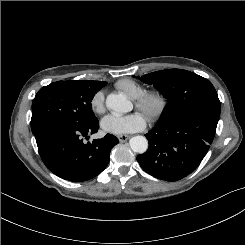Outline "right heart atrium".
<instances>
[{
    "label": "right heart atrium",
    "instance_id": "right-heart-atrium-1",
    "mask_svg": "<svg viewBox=\"0 0 245 245\" xmlns=\"http://www.w3.org/2000/svg\"><path fill=\"white\" fill-rule=\"evenodd\" d=\"M90 107L96 114H102L105 111V97L103 91L99 90L92 96Z\"/></svg>",
    "mask_w": 245,
    "mask_h": 245
}]
</instances>
